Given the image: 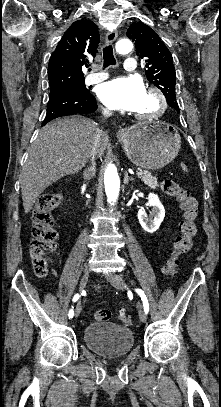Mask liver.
Instances as JSON below:
<instances>
[{"label": "liver", "mask_w": 221, "mask_h": 407, "mask_svg": "<svg viewBox=\"0 0 221 407\" xmlns=\"http://www.w3.org/2000/svg\"><path fill=\"white\" fill-rule=\"evenodd\" d=\"M97 125L88 118L73 116L45 125L31 145L20 176L25 214H28L43 191L64 176L80 171L91 157ZM109 145L103 132L101 157Z\"/></svg>", "instance_id": "6515ba94"}]
</instances>
